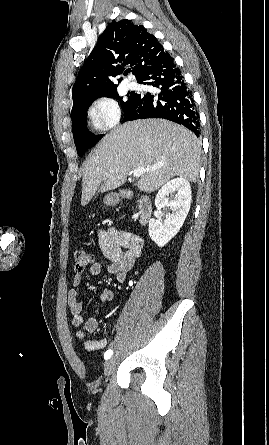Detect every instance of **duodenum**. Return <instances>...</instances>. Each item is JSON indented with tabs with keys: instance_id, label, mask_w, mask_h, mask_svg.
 <instances>
[{
	"instance_id": "1",
	"label": "duodenum",
	"mask_w": 269,
	"mask_h": 445,
	"mask_svg": "<svg viewBox=\"0 0 269 445\" xmlns=\"http://www.w3.org/2000/svg\"><path fill=\"white\" fill-rule=\"evenodd\" d=\"M124 196L127 198H131L133 196V193L131 191H125ZM137 201H138V206H139V212H138L139 222L142 225H146L150 219L151 212H152L151 201L145 195H138Z\"/></svg>"
}]
</instances>
